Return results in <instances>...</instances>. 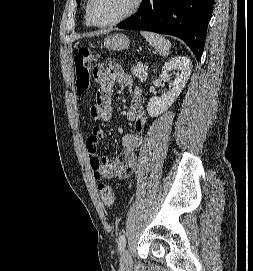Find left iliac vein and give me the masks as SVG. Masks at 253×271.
Here are the masks:
<instances>
[{
	"label": "left iliac vein",
	"instance_id": "obj_1",
	"mask_svg": "<svg viewBox=\"0 0 253 271\" xmlns=\"http://www.w3.org/2000/svg\"><path fill=\"white\" fill-rule=\"evenodd\" d=\"M121 267L124 269H130L132 267V258L127 249L122 252L121 255Z\"/></svg>",
	"mask_w": 253,
	"mask_h": 271
}]
</instances>
